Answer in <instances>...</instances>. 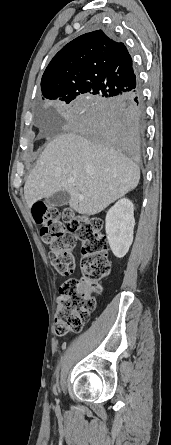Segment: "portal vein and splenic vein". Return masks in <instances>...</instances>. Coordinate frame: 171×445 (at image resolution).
Masks as SVG:
<instances>
[{
    "mask_svg": "<svg viewBox=\"0 0 171 445\" xmlns=\"http://www.w3.org/2000/svg\"><path fill=\"white\" fill-rule=\"evenodd\" d=\"M68 182L71 183V184H74L75 183V179L74 178H69Z\"/></svg>",
    "mask_w": 171,
    "mask_h": 445,
    "instance_id": "portal-vein-and-splenic-vein-1",
    "label": "portal vein and splenic vein"
}]
</instances>
